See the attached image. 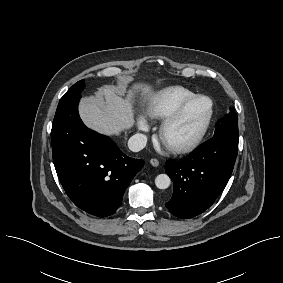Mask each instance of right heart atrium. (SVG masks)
<instances>
[{
    "mask_svg": "<svg viewBox=\"0 0 283 283\" xmlns=\"http://www.w3.org/2000/svg\"><path fill=\"white\" fill-rule=\"evenodd\" d=\"M139 128L141 129V130H147L148 129V125H147V123L145 122V121H143V120H141L140 122H139Z\"/></svg>",
    "mask_w": 283,
    "mask_h": 283,
    "instance_id": "d8ad5b80",
    "label": "right heart atrium"
}]
</instances>
